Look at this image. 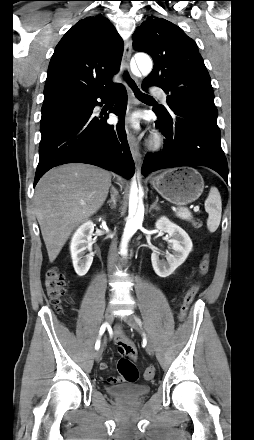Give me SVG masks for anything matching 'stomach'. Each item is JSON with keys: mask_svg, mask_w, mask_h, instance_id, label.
<instances>
[{"mask_svg": "<svg viewBox=\"0 0 254 440\" xmlns=\"http://www.w3.org/2000/svg\"><path fill=\"white\" fill-rule=\"evenodd\" d=\"M150 183L163 198L178 205L194 202L204 189L201 174L190 167L166 170Z\"/></svg>", "mask_w": 254, "mask_h": 440, "instance_id": "1", "label": "stomach"}]
</instances>
